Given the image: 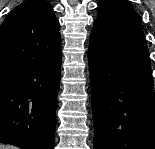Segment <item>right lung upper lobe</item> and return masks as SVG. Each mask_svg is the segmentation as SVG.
<instances>
[{"instance_id":"right-lung-upper-lobe-1","label":"right lung upper lobe","mask_w":155,"mask_h":149,"mask_svg":"<svg viewBox=\"0 0 155 149\" xmlns=\"http://www.w3.org/2000/svg\"><path fill=\"white\" fill-rule=\"evenodd\" d=\"M59 22L46 0L18 5L0 26V75H15L61 56Z\"/></svg>"}]
</instances>
